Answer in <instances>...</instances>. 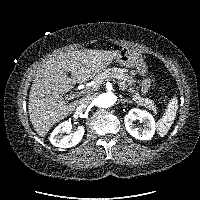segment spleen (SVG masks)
<instances>
[{"mask_svg":"<svg viewBox=\"0 0 200 200\" xmlns=\"http://www.w3.org/2000/svg\"><path fill=\"white\" fill-rule=\"evenodd\" d=\"M178 109V100L174 96L168 103L167 109L164 112L162 118L156 123V130L161 137H164L170 130L171 125L176 117Z\"/></svg>","mask_w":200,"mask_h":200,"instance_id":"3e777b00","label":"spleen"}]
</instances>
